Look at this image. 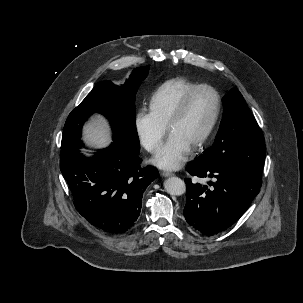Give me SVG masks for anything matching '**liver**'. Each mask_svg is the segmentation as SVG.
I'll use <instances>...</instances> for the list:
<instances>
[{
  "mask_svg": "<svg viewBox=\"0 0 303 303\" xmlns=\"http://www.w3.org/2000/svg\"><path fill=\"white\" fill-rule=\"evenodd\" d=\"M84 140L96 147H105L110 143L108 124L104 118L97 116L84 126Z\"/></svg>",
  "mask_w": 303,
  "mask_h": 303,
  "instance_id": "liver-1",
  "label": "liver"
}]
</instances>
